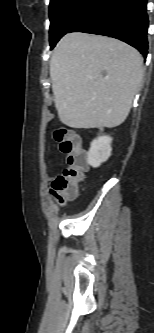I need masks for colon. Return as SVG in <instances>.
<instances>
[{
    "label": "colon",
    "instance_id": "colon-1",
    "mask_svg": "<svg viewBox=\"0 0 154 333\" xmlns=\"http://www.w3.org/2000/svg\"><path fill=\"white\" fill-rule=\"evenodd\" d=\"M54 139L59 144L60 151L67 155V160L63 172L53 180L50 193L58 204L63 205L77 195L87 170V162L80 138L71 129H56Z\"/></svg>",
    "mask_w": 154,
    "mask_h": 333
}]
</instances>
